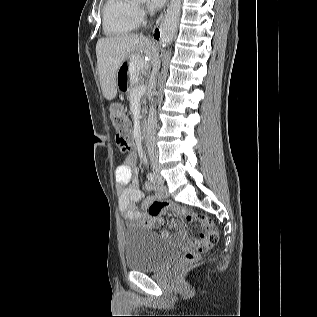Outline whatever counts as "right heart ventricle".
I'll list each match as a JSON object with an SVG mask.
<instances>
[{"label":"right heart ventricle","mask_w":317,"mask_h":317,"mask_svg":"<svg viewBox=\"0 0 317 317\" xmlns=\"http://www.w3.org/2000/svg\"><path fill=\"white\" fill-rule=\"evenodd\" d=\"M103 30L108 36L133 31L139 24L135 6L129 0H106L102 9Z\"/></svg>","instance_id":"obj_1"}]
</instances>
